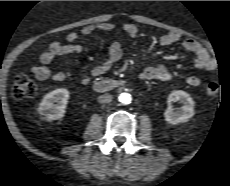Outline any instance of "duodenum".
Listing matches in <instances>:
<instances>
[{"instance_id":"1","label":"duodenum","mask_w":230,"mask_h":186,"mask_svg":"<svg viewBox=\"0 0 230 186\" xmlns=\"http://www.w3.org/2000/svg\"><path fill=\"white\" fill-rule=\"evenodd\" d=\"M123 80H100L94 83V89L98 92H107L125 85Z\"/></svg>"}]
</instances>
